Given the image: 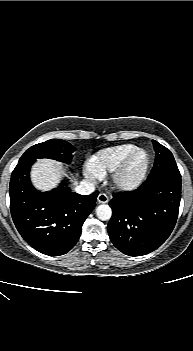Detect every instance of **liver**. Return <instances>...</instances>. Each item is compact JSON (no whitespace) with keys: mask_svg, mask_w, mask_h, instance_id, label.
I'll list each match as a JSON object with an SVG mask.
<instances>
[{"mask_svg":"<svg viewBox=\"0 0 193 351\" xmlns=\"http://www.w3.org/2000/svg\"><path fill=\"white\" fill-rule=\"evenodd\" d=\"M31 180L33 185L41 191H50L58 186L64 176H68L66 169L60 162L40 159L31 168ZM74 185L78 184L75 177L71 178Z\"/></svg>","mask_w":193,"mask_h":351,"instance_id":"1","label":"liver"}]
</instances>
